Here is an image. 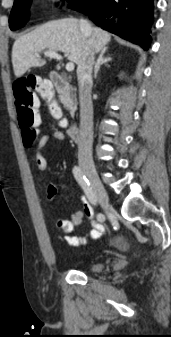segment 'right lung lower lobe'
I'll return each mask as SVG.
<instances>
[{"label":"right lung lower lobe","mask_w":171,"mask_h":337,"mask_svg":"<svg viewBox=\"0 0 171 337\" xmlns=\"http://www.w3.org/2000/svg\"><path fill=\"white\" fill-rule=\"evenodd\" d=\"M69 7L145 50L150 46L154 0H74Z\"/></svg>","instance_id":"right-lung-lower-lobe-1"}]
</instances>
